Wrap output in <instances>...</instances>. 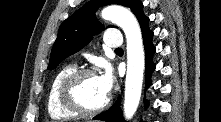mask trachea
I'll return each mask as SVG.
<instances>
[{
	"instance_id": "trachea-1",
	"label": "trachea",
	"mask_w": 221,
	"mask_h": 122,
	"mask_svg": "<svg viewBox=\"0 0 221 122\" xmlns=\"http://www.w3.org/2000/svg\"><path fill=\"white\" fill-rule=\"evenodd\" d=\"M122 50L121 48H117L116 51Z\"/></svg>"
}]
</instances>
